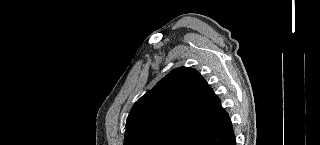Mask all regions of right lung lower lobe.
Returning a JSON list of instances; mask_svg holds the SVG:
<instances>
[{
	"label": "right lung lower lobe",
	"mask_w": 320,
	"mask_h": 145,
	"mask_svg": "<svg viewBox=\"0 0 320 145\" xmlns=\"http://www.w3.org/2000/svg\"><path fill=\"white\" fill-rule=\"evenodd\" d=\"M167 145H236L231 120L221 107L219 112L203 123L178 132Z\"/></svg>",
	"instance_id": "right-lung-lower-lobe-1"
}]
</instances>
